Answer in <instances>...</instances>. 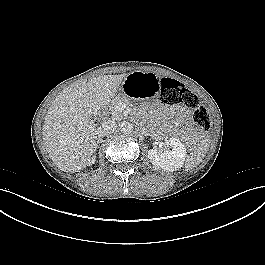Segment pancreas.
<instances>
[{
	"label": "pancreas",
	"instance_id": "1",
	"mask_svg": "<svg viewBox=\"0 0 265 265\" xmlns=\"http://www.w3.org/2000/svg\"><path fill=\"white\" fill-rule=\"evenodd\" d=\"M120 104L129 105L130 102L126 96H116L112 100V104H111V115L112 116H111V118L113 120H121L123 118V115H122L121 111L119 110Z\"/></svg>",
	"mask_w": 265,
	"mask_h": 265
}]
</instances>
